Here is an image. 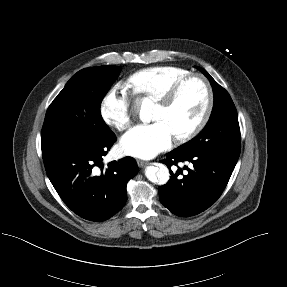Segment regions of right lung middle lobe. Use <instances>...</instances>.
I'll return each mask as SVG.
<instances>
[{
	"instance_id": "right-lung-middle-lobe-1",
	"label": "right lung middle lobe",
	"mask_w": 287,
	"mask_h": 287,
	"mask_svg": "<svg viewBox=\"0 0 287 287\" xmlns=\"http://www.w3.org/2000/svg\"><path fill=\"white\" fill-rule=\"evenodd\" d=\"M120 71L118 66H99L82 69L71 77L46 112L42 154L95 143L112 132L102 119L100 106Z\"/></svg>"
}]
</instances>
